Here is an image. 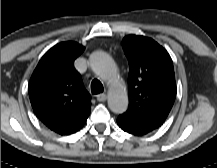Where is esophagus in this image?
<instances>
[{
  "label": "esophagus",
  "instance_id": "34e87169",
  "mask_svg": "<svg viewBox=\"0 0 217 168\" xmlns=\"http://www.w3.org/2000/svg\"><path fill=\"white\" fill-rule=\"evenodd\" d=\"M96 99H97V101H99V102H104V101H106V99H107V95L104 94V93L98 94V95L96 96Z\"/></svg>",
  "mask_w": 217,
  "mask_h": 168
}]
</instances>
